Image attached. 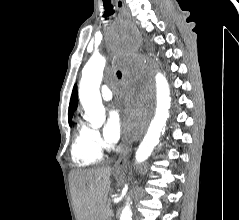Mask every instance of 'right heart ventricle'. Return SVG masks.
<instances>
[{
  "instance_id": "obj_1",
  "label": "right heart ventricle",
  "mask_w": 239,
  "mask_h": 220,
  "mask_svg": "<svg viewBox=\"0 0 239 220\" xmlns=\"http://www.w3.org/2000/svg\"><path fill=\"white\" fill-rule=\"evenodd\" d=\"M71 157L78 167L97 164L102 158L101 150L92 141V129L80 119L77 120L75 126Z\"/></svg>"
}]
</instances>
